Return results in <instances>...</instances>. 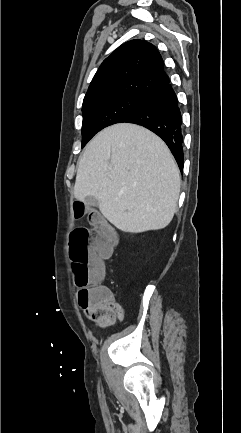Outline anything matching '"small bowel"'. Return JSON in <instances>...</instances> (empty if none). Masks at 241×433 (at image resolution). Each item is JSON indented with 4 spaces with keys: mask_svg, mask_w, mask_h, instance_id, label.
Instances as JSON below:
<instances>
[{
    "mask_svg": "<svg viewBox=\"0 0 241 433\" xmlns=\"http://www.w3.org/2000/svg\"><path fill=\"white\" fill-rule=\"evenodd\" d=\"M103 287L109 296L85 309L87 318L102 329L114 325L117 320L122 321L125 316L123 307L115 300L110 289L106 286Z\"/></svg>",
    "mask_w": 241,
    "mask_h": 433,
    "instance_id": "c3829d8e",
    "label": "small bowel"
}]
</instances>
